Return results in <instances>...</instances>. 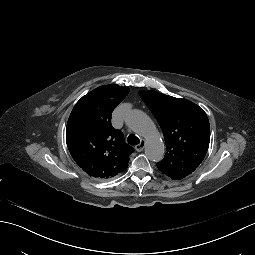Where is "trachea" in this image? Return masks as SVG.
<instances>
[{"instance_id":"3493384b","label":"trachea","mask_w":255,"mask_h":255,"mask_svg":"<svg viewBox=\"0 0 255 255\" xmlns=\"http://www.w3.org/2000/svg\"><path fill=\"white\" fill-rule=\"evenodd\" d=\"M127 141L130 145H137L140 142V140L133 134L128 136Z\"/></svg>"}]
</instances>
